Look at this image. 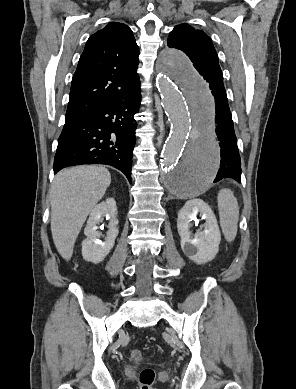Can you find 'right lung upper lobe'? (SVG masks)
Here are the masks:
<instances>
[{
    "label": "right lung upper lobe",
    "instance_id": "obj_1",
    "mask_svg": "<svg viewBox=\"0 0 296 389\" xmlns=\"http://www.w3.org/2000/svg\"><path fill=\"white\" fill-rule=\"evenodd\" d=\"M139 48L131 29L111 22L87 41L74 73L65 120L118 100L137 75Z\"/></svg>",
    "mask_w": 296,
    "mask_h": 389
}]
</instances>
